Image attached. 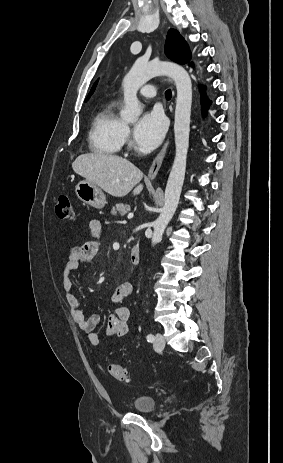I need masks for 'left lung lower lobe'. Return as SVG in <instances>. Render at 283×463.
<instances>
[{
	"label": "left lung lower lobe",
	"instance_id": "obj_1",
	"mask_svg": "<svg viewBox=\"0 0 283 463\" xmlns=\"http://www.w3.org/2000/svg\"><path fill=\"white\" fill-rule=\"evenodd\" d=\"M211 104V102L206 98L205 94L202 93V111L203 114L206 111L207 107Z\"/></svg>",
	"mask_w": 283,
	"mask_h": 463
}]
</instances>
